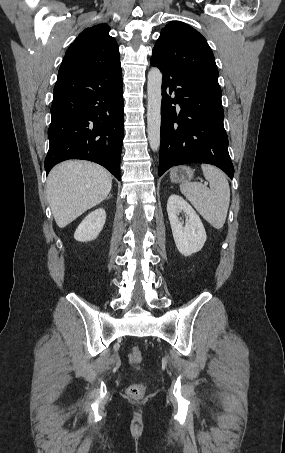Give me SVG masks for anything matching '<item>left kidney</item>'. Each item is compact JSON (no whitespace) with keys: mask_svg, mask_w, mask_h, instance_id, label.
Returning <instances> with one entry per match:
<instances>
[{"mask_svg":"<svg viewBox=\"0 0 285 453\" xmlns=\"http://www.w3.org/2000/svg\"><path fill=\"white\" fill-rule=\"evenodd\" d=\"M181 212L187 216L185 225L179 220ZM167 213L178 251L184 256L200 251L206 241V232L195 210L181 196L172 194L168 198Z\"/></svg>","mask_w":285,"mask_h":453,"instance_id":"5707ae66","label":"left kidney"}]
</instances>
